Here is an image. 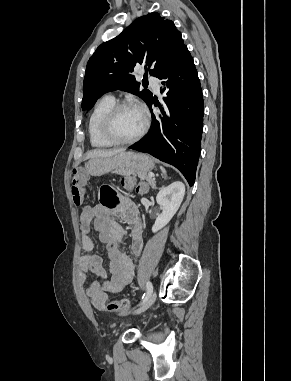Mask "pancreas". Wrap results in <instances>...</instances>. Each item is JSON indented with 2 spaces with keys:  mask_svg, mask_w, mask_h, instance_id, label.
<instances>
[{
  "mask_svg": "<svg viewBox=\"0 0 291 381\" xmlns=\"http://www.w3.org/2000/svg\"><path fill=\"white\" fill-rule=\"evenodd\" d=\"M114 173L120 174V175H133L138 176L141 180H146L148 184L153 185L155 184V179L148 176L146 172L142 171H132V170H116Z\"/></svg>",
  "mask_w": 291,
  "mask_h": 381,
  "instance_id": "1",
  "label": "pancreas"
}]
</instances>
